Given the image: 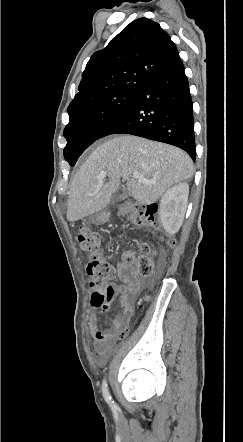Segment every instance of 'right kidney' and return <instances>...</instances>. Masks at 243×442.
<instances>
[{
    "label": "right kidney",
    "mask_w": 243,
    "mask_h": 442,
    "mask_svg": "<svg viewBox=\"0 0 243 442\" xmlns=\"http://www.w3.org/2000/svg\"><path fill=\"white\" fill-rule=\"evenodd\" d=\"M189 185L179 183L167 190L161 198L160 219L164 229L176 233L182 225L187 208Z\"/></svg>",
    "instance_id": "obj_1"
}]
</instances>
